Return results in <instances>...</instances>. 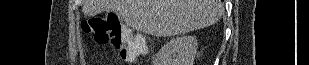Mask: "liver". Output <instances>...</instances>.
I'll list each match as a JSON object with an SVG mask.
<instances>
[{
  "mask_svg": "<svg viewBox=\"0 0 309 65\" xmlns=\"http://www.w3.org/2000/svg\"><path fill=\"white\" fill-rule=\"evenodd\" d=\"M222 9L221 0H84L82 11H115L133 29L166 37L214 25Z\"/></svg>",
  "mask_w": 309,
  "mask_h": 65,
  "instance_id": "6515ba94",
  "label": "liver"
}]
</instances>
